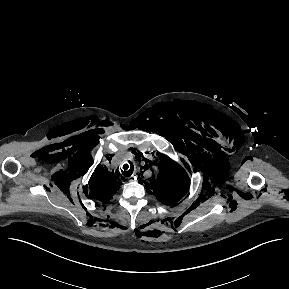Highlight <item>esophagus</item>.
Listing matches in <instances>:
<instances>
[{
  "instance_id": "1",
  "label": "esophagus",
  "mask_w": 289,
  "mask_h": 289,
  "mask_svg": "<svg viewBox=\"0 0 289 289\" xmlns=\"http://www.w3.org/2000/svg\"><path fill=\"white\" fill-rule=\"evenodd\" d=\"M134 178V180H137V175L135 174L134 176H132ZM133 178H132V181H133Z\"/></svg>"
}]
</instances>
